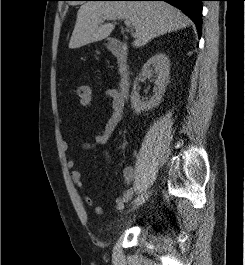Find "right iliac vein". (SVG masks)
<instances>
[{"label": "right iliac vein", "mask_w": 245, "mask_h": 265, "mask_svg": "<svg viewBox=\"0 0 245 265\" xmlns=\"http://www.w3.org/2000/svg\"><path fill=\"white\" fill-rule=\"evenodd\" d=\"M149 197V193L147 194H144V195H141L139 197H137L134 202H133V205H132V210H135L136 208H138L140 205H142L145 200Z\"/></svg>", "instance_id": "right-iliac-vein-1"}]
</instances>
